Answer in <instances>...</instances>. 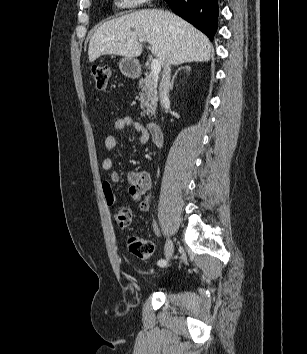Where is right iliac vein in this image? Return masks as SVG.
<instances>
[{"mask_svg":"<svg viewBox=\"0 0 307 354\" xmlns=\"http://www.w3.org/2000/svg\"><path fill=\"white\" fill-rule=\"evenodd\" d=\"M173 252H174L173 242L171 239H168L165 246V258L167 261L171 259Z\"/></svg>","mask_w":307,"mask_h":354,"instance_id":"63e3f726","label":"right iliac vein"}]
</instances>
